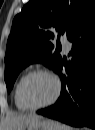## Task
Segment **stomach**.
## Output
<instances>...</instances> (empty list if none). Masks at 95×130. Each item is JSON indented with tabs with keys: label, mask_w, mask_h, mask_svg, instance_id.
<instances>
[{
	"label": "stomach",
	"mask_w": 95,
	"mask_h": 130,
	"mask_svg": "<svg viewBox=\"0 0 95 130\" xmlns=\"http://www.w3.org/2000/svg\"><path fill=\"white\" fill-rule=\"evenodd\" d=\"M26 130H62L61 124L55 120L40 119L28 125Z\"/></svg>",
	"instance_id": "stomach-1"
}]
</instances>
